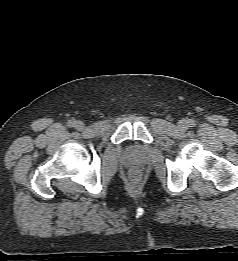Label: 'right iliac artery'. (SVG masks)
<instances>
[{
	"label": "right iliac artery",
	"instance_id": "82829eb1",
	"mask_svg": "<svg viewBox=\"0 0 238 261\" xmlns=\"http://www.w3.org/2000/svg\"><path fill=\"white\" fill-rule=\"evenodd\" d=\"M74 124H75V122H74L73 120H69V121L67 122V125H68L69 127H73Z\"/></svg>",
	"mask_w": 238,
	"mask_h": 261
}]
</instances>
